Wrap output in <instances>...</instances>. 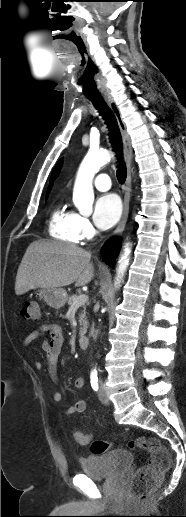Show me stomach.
I'll list each match as a JSON object with an SVG mask.
<instances>
[{
  "label": "stomach",
  "mask_w": 186,
  "mask_h": 517,
  "mask_svg": "<svg viewBox=\"0 0 186 517\" xmlns=\"http://www.w3.org/2000/svg\"><path fill=\"white\" fill-rule=\"evenodd\" d=\"M36 296L55 309L63 307L67 300V292L63 288H41L37 291Z\"/></svg>",
  "instance_id": "stomach-1"
}]
</instances>
